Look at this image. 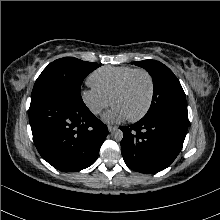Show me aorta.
<instances>
[{"mask_svg":"<svg viewBox=\"0 0 220 220\" xmlns=\"http://www.w3.org/2000/svg\"><path fill=\"white\" fill-rule=\"evenodd\" d=\"M111 136L115 141H121L123 139V132L120 129H114L111 132Z\"/></svg>","mask_w":220,"mask_h":220,"instance_id":"1","label":"aorta"}]
</instances>
